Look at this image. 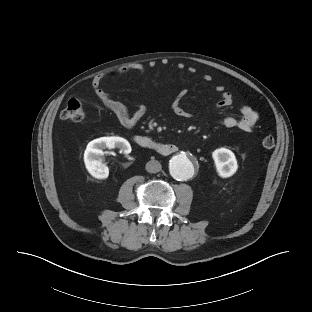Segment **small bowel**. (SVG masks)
<instances>
[{
  "mask_svg": "<svg viewBox=\"0 0 312 312\" xmlns=\"http://www.w3.org/2000/svg\"><path fill=\"white\" fill-rule=\"evenodd\" d=\"M150 68H155L156 63L150 62ZM181 68V66H179ZM146 73V67L142 64H132L125 66L123 68H119L116 70L109 71L104 74H100L94 77L92 81V88L100 100V102L110 111H112L121 125L126 128H133L135 127L146 115L147 108L143 104H137L136 108L133 112H130L127 106L116 99H114L108 92H106L102 88V83L111 78L121 77L126 74H137L143 75ZM205 82H210L211 77L209 75H205L203 77ZM215 91L220 94V99L217 101L215 105V111L224 109L229 107L232 102L233 98L230 92L225 91L222 85H218L215 87ZM180 97L177 98L172 104L173 112L181 117L187 116L186 111L180 106L179 104ZM259 119V114L250 106L243 105L241 107V116L239 118L234 116H227L223 120V124L225 127L230 129H239L245 132H250L253 130L255 124Z\"/></svg>",
  "mask_w": 312,
  "mask_h": 312,
  "instance_id": "c3829d8e",
  "label": "small bowel"
}]
</instances>
